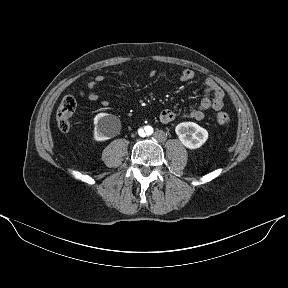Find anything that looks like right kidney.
<instances>
[{
	"instance_id": "1",
	"label": "right kidney",
	"mask_w": 288,
	"mask_h": 288,
	"mask_svg": "<svg viewBox=\"0 0 288 288\" xmlns=\"http://www.w3.org/2000/svg\"><path fill=\"white\" fill-rule=\"evenodd\" d=\"M116 117L106 113H99L94 118V139L106 141L115 135L113 130Z\"/></svg>"
}]
</instances>
